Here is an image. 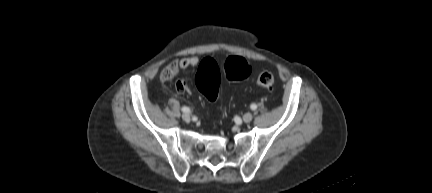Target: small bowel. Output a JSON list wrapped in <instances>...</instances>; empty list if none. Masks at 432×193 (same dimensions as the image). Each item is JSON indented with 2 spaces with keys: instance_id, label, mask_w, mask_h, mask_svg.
I'll return each instance as SVG.
<instances>
[{
  "instance_id": "c3829d8e",
  "label": "small bowel",
  "mask_w": 432,
  "mask_h": 193,
  "mask_svg": "<svg viewBox=\"0 0 432 193\" xmlns=\"http://www.w3.org/2000/svg\"><path fill=\"white\" fill-rule=\"evenodd\" d=\"M198 64H199V58L197 56L185 57L179 61V67H180V69H183V70L194 68ZM176 87L179 91H183L186 87V84L184 81L179 80L176 83Z\"/></svg>"
}]
</instances>
